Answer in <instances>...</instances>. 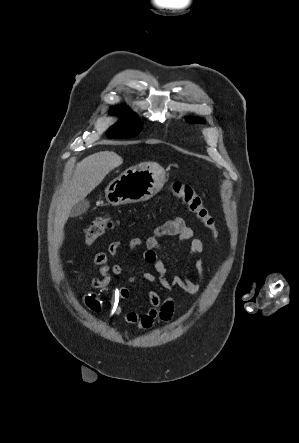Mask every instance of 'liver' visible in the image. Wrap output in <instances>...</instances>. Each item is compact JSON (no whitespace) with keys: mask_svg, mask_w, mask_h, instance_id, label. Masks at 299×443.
Masks as SVG:
<instances>
[{"mask_svg":"<svg viewBox=\"0 0 299 443\" xmlns=\"http://www.w3.org/2000/svg\"><path fill=\"white\" fill-rule=\"evenodd\" d=\"M123 163L113 151H100L79 162L68 187L57 205L54 220L53 244L60 247L64 240V225L74 204L83 200L113 169Z\"/></svg>","mask_w":299,"mask_h":443,"instance_id":"liver-1","label":"liver"}]
</instances>
